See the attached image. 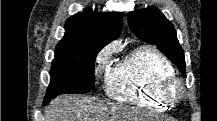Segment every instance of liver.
I'll return each mask as SVG.
<instances>
[{"mask_svg": "<svg viewBox=\"0 0 217 121\" xmlns=\"http://www.w3.org/2000/svg\"><path fill=\"white\" fill-rule=\"evenodd\" d=\"M46 121H137L138 112L124 106L104 105L91 97L62 95L45 110Z\"/></svg>", "mask_w": 217, "mask_h": 121, "instance_id": "liver-1", "label": "liver"}]
</instances>
